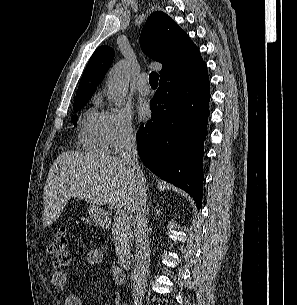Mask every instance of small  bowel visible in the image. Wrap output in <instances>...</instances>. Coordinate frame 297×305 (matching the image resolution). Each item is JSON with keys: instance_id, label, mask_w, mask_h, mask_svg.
Segmentation results:
<instances>
[{"instance_id": "c3829d8e", "label": "small bowel", "mask_w": 297, "mask_h": 305, "mask_svg": "<svg viewBox=\"0 0 297 305\" xmlns=\"http://www.w3.org/2000/svg\"><path fill=\"white\" fill-rule=\"evenodd\" d=\"M104 260V254L101 250L92 249L87 252L85 261L88 266H98ZM112 278L115 284L121 285L125 280V274L119 267L113 265L111 268ZM52 287L58 291H64L69 286V279L66 273L56 271L51 279ZM114 305H122V296L119 291H115L112 295ZM64 305H82V301L77 294L69 293L65 297Z\"/></svg>"}]
</instances>
